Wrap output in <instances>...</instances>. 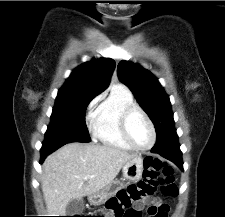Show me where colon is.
Here are the masks:
<instances>
[{"instance_id":"5ec220e1","label":"colon","mask_w":225,"mask_h":217,"mask_svg":"<svg viewBox=\"0 0 225 217\" xmlns=\"http://www.w3.org/2000/svg\"><path fill=\"white\" fill-rule=\"evenodd\" d=\"M158 187L165 196L176 197L178 194L173 169L161 160L147 156L144 159L143 179L137 185L121 190L108 202L106 208L109 217H141L134 205L152 196ZM168 210L166 204L150 206L148 214L150 217H167Z\"/></svg>"}]
</instances>
